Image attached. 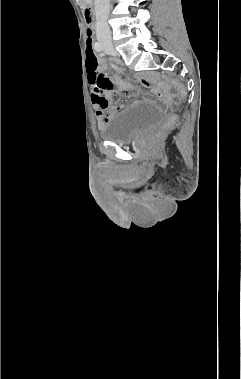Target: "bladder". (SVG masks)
Masks as SVG:
<instances>
[{
    "mask_svg": "<svg viewBox=\"0 0 241 379\" xmlns=\"http://www.w3.org/2000/svg\"><path fill=\"white\" fill-rule=\"evenodd\" d=\"M163 119L162 111L153 104L136 103L114 112L101 126L103 140L116 144H128L146 131L157 126Z\"/></svg>",
    "mask_w": 241,
    "mask_h": 379,
    "instance_id": "31cf9c89",
    "label": "bladder"
}]
</instances>
